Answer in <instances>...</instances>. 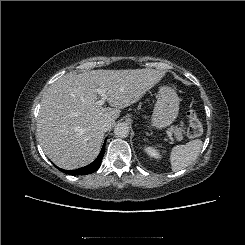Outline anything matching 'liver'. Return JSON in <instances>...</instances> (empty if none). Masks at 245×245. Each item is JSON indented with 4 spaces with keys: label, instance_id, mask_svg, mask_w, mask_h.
I'll use <instances>...</instances> for the list:
<instances>
[{
    "label": "liver",
    "instance_id": "obj_1",
    "mask_svg": "<svg viewBox=\"0 0 245 245\" xmlns=\"http://www.w3.org/2000/svg\"><path fill=\"white\" fill-rule=\"evenodd\" d=\"M165 73L155 69L93 70L68 73L48 87L40 105L37 133L43 151L63 169H77L98 155L104 119H117L120 109L139 101ZM97 88L109 105L97 106Z\"/></svg>",
    "mask_w": 245,
    "mask_h": 245
}]
</instances>
